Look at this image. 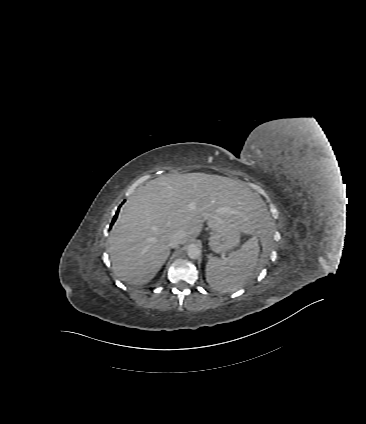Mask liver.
<instances>
[{"label":"liver","mask_w":366,"mask_h":424,"mask_svg":"<svg viewBox=\"0 0 366 424\" xmlns=\"http://www.w3.org/2000/svg\"><path fill=\"white\" fill-rule=\"evenodd\" d=\"M262 199L240 180L205 173L161 176L139 187L121 208L108 238L114 273L145 284L170 254L169 238H196L206 221L213 231L237 227L264 239Z\"/></svg>","instance_id":"6515ba94"}]
</instances>
